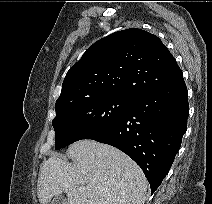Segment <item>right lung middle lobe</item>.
<instances>
[{"label": "right lung middle lobe", "instance_id": "1", "mask_svg": "<svg viewBox=\"0 0 212 204\" xmlns=\"http://www.w3.org/2000/svg\"><path fill=\"white\" fill-rule=\"evenodd\" d=\"M130 103L128 97L104 96L56 109L52 123L56 133L55 149L87 139L114 125L126 114Z\"/></svg>", "mask_w": 212, "mask_h": 204}]
</instances>
